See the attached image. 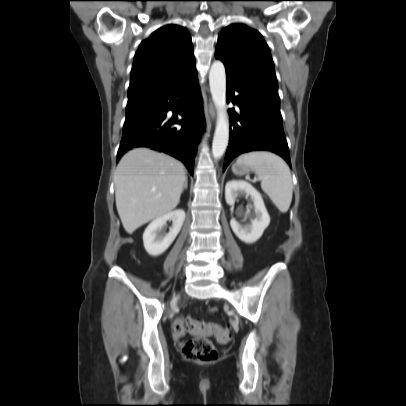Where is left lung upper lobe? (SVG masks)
<instances>
[{"instance_id": "left-lung-upper-lobe-1", "label": "left lung upper lobe", "mask_w": 406, "mask_h": 406, "mask_svg": "<svg viewBox=\"0 0 406 406\" xmlns=\"http://www.w3.org/2000/svg\"><path fill=\"white\" fill-rule=\"evenodd\" d=\"M215 57L223 61L226 73L278 96L270 50L257 30L243 24L224 28L218 36Z\"/></svg>"}]
</instances>
